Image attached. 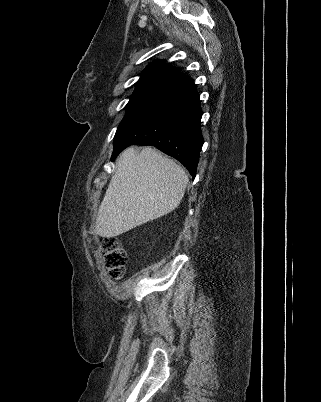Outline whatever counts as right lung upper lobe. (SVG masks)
I'll use <instances>...</instances> for the list:
<instances>
[{"label":"right lung upper lobe","mask_w":321,"mask_h":402,"mask_svg":"<svg viewBox=\"0 0 321 402\" xmlns=\"http://www.w3.org/2000/svg\"><path fill=\"white\" fill-rule=\"evenodd\" d=\"M185 80L187 78L177 68L171 67L163 60H157L144 69L136 88L148 84H162L175 87Z\"/></svg>","instance_id":"1"}]
</instances>
